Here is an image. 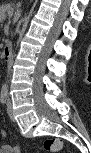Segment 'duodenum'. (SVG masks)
<instances>
[{
  "instance_id": "obj_1",
  "label": "duodenum",
  "mask_w": 91,
  "mask_h": 153,
  "mask_svg": "<svg viewBox=\"0 0 91 153\" xmlns=\"http://www.w3.org/2000/svg\"><path fill=\"white\" fill-rule=\"evenodd\" d=\"M13 53V46L11 44H6L3 49V59L5 61H10Z\"/></svg>"
}]
</instances>
